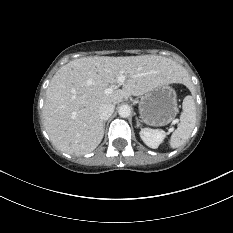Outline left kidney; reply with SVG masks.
Instances as JSON below:
<instances>
[{"label":"left kidney","mask_w":233,"mask_h":233,"mask_svg":"<svg viewBox=\"0 0 233 233\" xmlns=\"http://www.w3.org/2000/svg\"><path fill=\"white\" fill-rule=\"evenodd\" d=\"M140 137L148 147L156 149L164 140L165 132L162 130L144 128L140 131Z\"/></svg>","instance_id":"obj_1"}]
</instances>
